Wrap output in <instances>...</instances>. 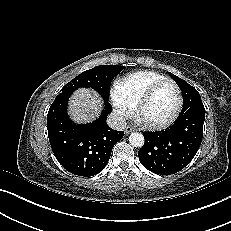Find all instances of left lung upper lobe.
<instances>
[{
    "instance_id": "obj_1",
    "label": "left lung upper lobe",
    "mask_w": 231,
    "mask_h": 231,
    "mask_svg": "<svg viewBox=\"0 0 231 231\" xmlns=\"http://www.w3.org/2000/svg\"><path fill=\"white\" fill-rule=\"evenodd\" d=\"M168 74L173 80H175L183 94V108L180 114L190 110L193 107L203 106L200 94L193 86L189 85L183 79L177 77L171 72H168ZM176 124L177 122L175 121V123L169 127V129L174 130Z\"/></svg>"
}]
</instances>
